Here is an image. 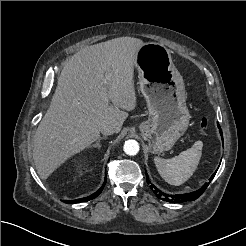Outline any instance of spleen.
I'll return each mask as SVG.
<instances>
[{
  "label": "spleen",
  "mask_w": 246,
  "mask_h": 246,
  "mask_svg": "<svg viewBox=\"0 0 246 246\" xmlns=\"http://www.w3.org/2000/svg\"><path fill=\"white\" fill-rule=\"evenodd\" d=\"M203 142L193 146L171 159L154 158L160 176L170 185L179 186L190 179L197 169L202 156Z\"/></svg>",
  "instance_id": "3e777b00"
}]
</instances>
